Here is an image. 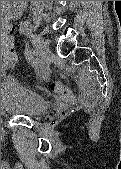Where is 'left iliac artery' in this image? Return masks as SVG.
Here are the masks:
<instances>
[{"mask_svg": "<svg viewBox=\"0 0 121 169\" xmlns=\"http://www.w3.org/2000/svg\"><path fill=\"white\" fill-rule=\"evenodd\" d=\"M20 35H31L32 26L29 22H25L20 30ZM33 36V35H32ZM24 54H26V58L28 64H31V68H35L36 72H43L45 64L42 63V60L38 58L35 53V49H24Z\"/></svg>", "mask_w": 121, "mask_h": 169, "instance_id": "left-iliac-artery-1", "label": "left iliac artery"}]
</instances>
